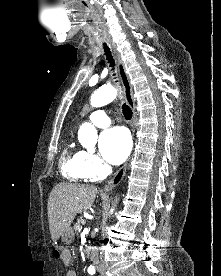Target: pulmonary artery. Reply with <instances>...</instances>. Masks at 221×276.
Wrapping results in <instances>:
<instances>
[{
	"instance_id": "e3ab8cb5",
	"label": "pulmonary artery",
	"mask_w": 221,
	"mask_h": 276,
	"mask_svg": "<svg viewBox=\"0 0 221 276\" xmlns=\"http://www.w3.org/2000/svg\"><path fill=\"white\" fill-rule=\"evenodd\" d=\"M89 120L97 127L104 128L110 125V118L105 110H96L90 114Z\"/></svg>"
}]
</instances>
